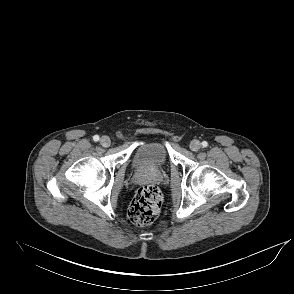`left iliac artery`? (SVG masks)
Instances as JSON below:
<instances>
[{
    "label": "left iliac artery",
    "instance_id": "44dca946",
    "mask_svg": "<svg viewBox=\"0 0 294 294\" xmlns=\"http://www.w3.org/2000/svg\"><path fill=\"white\" fill-rule=\"evenodd\" d=\"M202 146H203V147H207V146H208V143H207L206 141H203V142H202Z\"/></svg>",
    "mask_w": 294,
    "mask_h": 294
}]
</instances>
